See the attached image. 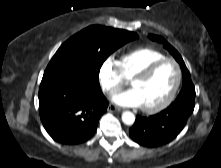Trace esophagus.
Returning a JSON list of instances; mask_svg holds the SVG:
<instances>
[{
	"instance_id": "1",
	"label": "esophagus",
	"mask_w": 221,
	"mask_h": 168,
	"mask_svg": "<svg viewBox=\"0 0 221 168\" xmlns=\"http://www.w3.org/2000/svg\"><path fill=\"white\" fill-rule=\"evenodd\" d=\"M108 110H109V111H115V112H120V111H122L121 108H119V107H117V106H115V105H109V106H108Z\"/></svg>"
}]
</instances>
